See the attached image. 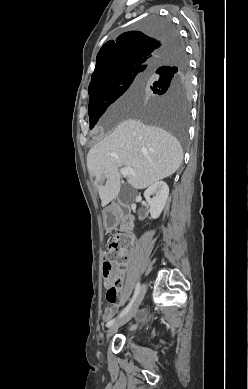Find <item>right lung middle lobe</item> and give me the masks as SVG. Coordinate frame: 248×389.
Instances as JSON below:
<instances>
[{"label": "right lung middle lobe", "mask_w": 248, "mask_h": 389, "mask_svg": "<svg viewBox=\"0 0 248 389\" xmlns=\"http://www.w3.org/2000/svg\"><path fill=\"white\" fill-rule=\"evenodd\" d=\"M139 28L152 37L177 35L169 19L146 17ZM159 68V69H158ZM162 71V73H157ZM146 82L156 98L149 102L120 104L117 113L132 115L173 133L181 145L186 144L190 114V77L184 54L169 53L151 69L137 67L113 72L105 82L89 91V120L92 129L106 109L133 84Z\"/></svg>", "instance_id": "obj_1"}]
</instances>
